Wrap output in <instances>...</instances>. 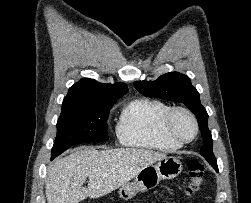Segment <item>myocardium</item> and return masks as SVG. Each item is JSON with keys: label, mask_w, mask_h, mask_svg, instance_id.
Listing matches in <instances>:
<instances>
[{"label": "myocardium", "mask_w": 251, "mask_h": 203, "mask_svg": "<svg viewBox=\"0 0 251 203\" xmlns=\"http://www.w3.org/2000/svg\"><path fill=\"white\" fill-rule=\"evenodd\" d=\"M177 113L186 114L192 120L194 124V134L188 139L180 137L173 129V120ZM162 130L164 134L170 139L180 144H187V143L192 142L197 137L198 132H199V123L194 113L191 112L189 109L182 106H175V107H171L168 110V112L165 114L163 118V122H162Z\"/></svg>", "instance_id": "myocardium-1"}]
</instances>
